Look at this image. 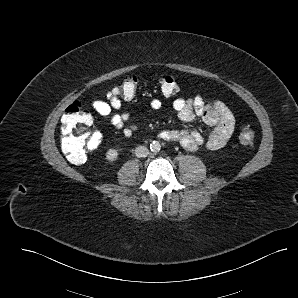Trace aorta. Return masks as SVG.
<instances>
[{
  "mask_svg": "<svg viewBox=\"0 0 298 298\" xmlns=\"http://www.w3.org/2000/svg\"><path fill=\"white\" fill-rule=\"evenodd\" d=\"M150 150L153 153H158L161 150V144L158 141H152L150 144Z\"/></svg>",
  "mask_w": 298,
  "mask_h": 298,
  "instance_id": "aorta-1",
  "label": "aorta"
}]
</instances>
